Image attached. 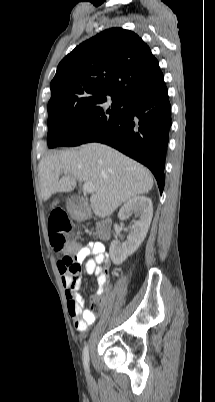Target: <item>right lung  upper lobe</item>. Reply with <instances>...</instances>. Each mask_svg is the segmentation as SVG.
I'll return each instance as SVG.
<instances>
[{"instance_id": "obj_1", "label": "right lung upper lobe", "mask_w": 215, "mask_h": 402, "mask_svg": "<svg viewBox=\"0 0 215 402\" xmlns=\"http://www.w3.org/2000/svg\"><path fill=\"white\" fill-rule=\"evenodd\" d=\"M165 85L159 63L134 32L107 29L81 43L58 65L51 100L117 95L124 99Z\"/></svg>"}]
</instances>
